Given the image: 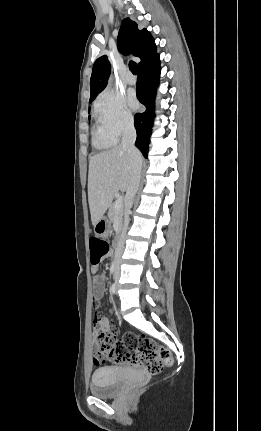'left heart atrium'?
<instances>
[{
	"label": "left heart atrium",
	"instance_id": "1",
	"mask_svg": "<svg viewBox=\"0 0 261 431\" xmlns=\"http://www.w3.org/2000/svg\"><path fill=\"white\" fill-rule=\"evenodd\" d=\"M127 101L128 105L131 109H136L138 107V101L136 99V96L133 92H129L127 95Z\"/></svg>",
	"mask_w": 261,
	"mask_h": 431
}]
</instances>
